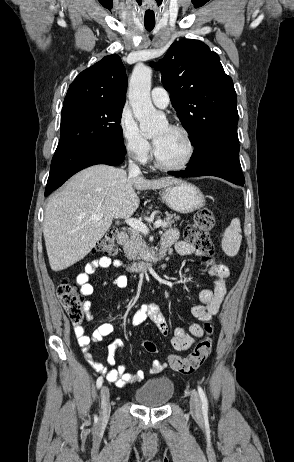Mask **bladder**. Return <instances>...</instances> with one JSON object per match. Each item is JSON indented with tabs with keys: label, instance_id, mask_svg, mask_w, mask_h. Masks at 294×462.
<instances>
[{
	"label": "bladder",
	"instance_id": "obj_1",
	"mask_svg": "<svg viewBox=\"0 0 294 462\" xmlns=\"http://www.w3.org/2000/svg\"><path fill=\"white\" fill-rule=\"evenodd\" d=\"M175 393V385L170 377L163 376L145 381L134 392L137 404L149 408L164 406Z\"/></svg>",
	"mask_w": 294,
	"mask_h": 462
}]
</instances>
